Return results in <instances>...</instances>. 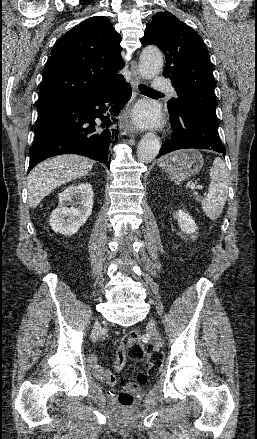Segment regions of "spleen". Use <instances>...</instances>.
Returning a JSON list of instances; mask_svg holds the SVG:
<instances>
[{
	"label": "spleen",
	"instance_id": "spleen-1",
	"mask_svg": "<svg viewBox=\"0 0 257 439\" xmlns=\"http://www.w3.org/2000/svg\"><path fill=\"white\" fill-rule=\"evenodd\" d=\"M210 178L208 193L201 205L205 215L214 221L221 215L228 195L229 173L222 159H214L210 169Z\"/></svg>",
	"mask_w": 257,
	"mask_h": 439
}]
</instances>
